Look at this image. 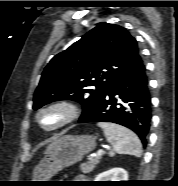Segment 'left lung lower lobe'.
Masks as SVG:
<instances>
[{
	"label": "left lung lower lobe",
	"instance_id": "left-lung-lower-lobe-1",
	"mask_svg": "<svg viewBox=\"0 0 178 186\" xmlns=\"http://www.w3.org/2000/svg\"><path fill=\"white\" fill-rule=\"evenodd\" d=\"M79 122L120 124L133 130L145 146L151 122V100L143 61L116 79L100 104L83 114Z\"/></svg>",
	"mask_w": 178,
	"mask_h": 186
}]
</instances>
